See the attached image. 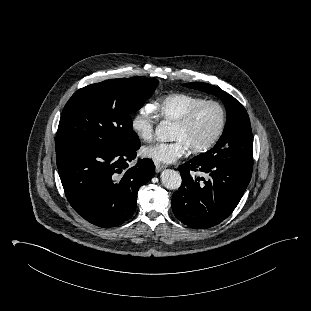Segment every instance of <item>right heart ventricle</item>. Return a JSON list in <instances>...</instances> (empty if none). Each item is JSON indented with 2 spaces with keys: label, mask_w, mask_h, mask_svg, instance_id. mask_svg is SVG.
I'll use <instances>...</instances> for the list:
<instances>
[{
  "label": "right heart ventricle",
  "mask_w": 311,
  "mask_h": 311,
  "mask_svg": "<svg viewBox=\"0 0 311 311\" xmlns=\"http://www.w3.org/2000/svg\"><path fill=\"white\" fill-rule=\"evenodd\" d=\"M204 100L200 96L173 93L158 99L152 104V107L159 113L162 119L175 123L194 106Z\"/></svg>",
  "instance_id": "obj_1"
}]
</instances>
